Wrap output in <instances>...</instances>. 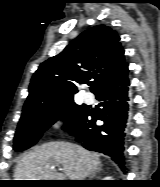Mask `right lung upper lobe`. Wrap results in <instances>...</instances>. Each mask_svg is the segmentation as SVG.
Masks as SVG:
<instances>
[{
	"instance_id": "cb5924a9",
	"label": "right lung upper lobe",
	"mask_w": 160,
	"mask_h": 187,
	"mask_svg": "<svg viewBox=\"0 0 160 187\" xmlns=\"http://www.w3.org/2000/svg\"><path fill=\"white\" fill-rule=\"evenodd\" d=\"M117 33L94 26L74 39L58 55L43 62L31 79L23 113L47 109L73 99L76 83L92 82L94 93L127 65Z\"/></svg>"
}]
</instances>
